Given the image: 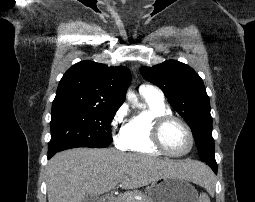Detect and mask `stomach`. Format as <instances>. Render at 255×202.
I'll return each mask as SVG.
<instances>
[{"label": "stomach", "instance_id": "stomach-1", "mask_svg": "<svg viewBox=\"0 0 255 202\" xmlns=\"http://www.w3.org/2000/svg\"><path fill=\"white\" fill-rule=\"evenodd\" d=\"M150 202H198L195 188L176 176H165L147 187Z\"/></svg>", "mask_w": 255, "mask_h": 202}]
</instances>
